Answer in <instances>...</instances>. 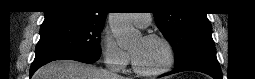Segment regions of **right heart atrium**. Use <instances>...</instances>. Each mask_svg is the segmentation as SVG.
<instances>
[{
  "mask_svg": "<svg viewBox=\"0 0 255 79\" xmlns=\"http://www.w3.org/2000/svg\"><path fill=\"white\" fill-rule=\"evenodd\" d=\"M103 53L105 61L118 71L125 70L130 63L129 54L110 36H105L103 39Z\"/></svg>",
  "mask_w": 255,
  "mask_h": 79,
  "instance_id": "d8ad5b80",
  "label": "right heart atrium"
}]
</instances>
